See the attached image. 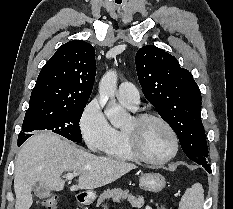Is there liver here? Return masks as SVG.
Here are the masks:
<instances>
[{"mask_svg": "<svg viewBox=\"0 0 233 209\" xmlns=\"http://www.w3.org/2000/svg\"><path fill=\"white\" fill-rule=\"evenodd\" d=\"M136 168L131 163L91 154L56 134L38 133L24 143L15 162V209H30L32 187L37 182L61 191L64 172L79 173L77 184L70 187L76 191L105 186Z\"/></svg>", "mask_w": 233, "mask_h": 209, "instance_id": "1", "label": "liver"}]
</instances>
